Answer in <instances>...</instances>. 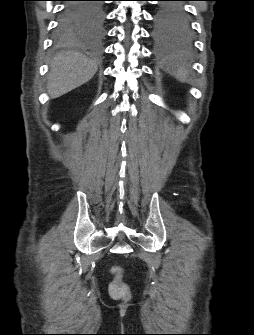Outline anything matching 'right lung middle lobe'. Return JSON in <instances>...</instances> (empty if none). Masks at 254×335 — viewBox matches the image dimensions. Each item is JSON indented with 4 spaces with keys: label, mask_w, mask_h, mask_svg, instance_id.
Wrapping results in <instances>:
<instances>
[{
    "label": "right lung middle lobe",
    "mask_w": 254,
    "mask_h": 335,
    "mask_svg": "<svg viewBox=\"0 0 254 335\" xmlns=\"http://www.w3.org/2000/svg\"><path fill=\"white\" fill-rule=\"evenodd\" d=\"M93 8L98 10L99 21L89 30L84 31L79 28V17H75V22L65 29H57L56 38L67 40L79 35H100L103 32L104 11L101 2H91Z\"/></svg>",
    "instance_id": "obj_1"
}]
</instances>
